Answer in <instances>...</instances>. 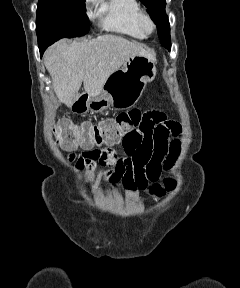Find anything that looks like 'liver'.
I'll use <instances>...</instances> for the list:
<instances>
[{"mask_svg":"<svg viewBox=\"0 0 240 288\" xmlns=\"http://www.w3.org/2000/svg\"><path fill=\"white\" fill-rule=\"evenodd\" d=\"M134 55L154 58L141 45L107 34L71 44L61 39L46 50L44 64L59 101L72 107L82 82L90 98L98 96L107 79Z\"/></svg>","mask_w":240,"mask_h":288,"instance_id":"obj_1","label":"liver"}]
</instances>
